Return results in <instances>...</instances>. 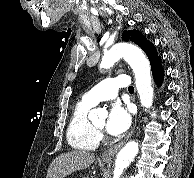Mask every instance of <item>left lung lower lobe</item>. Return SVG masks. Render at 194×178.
Segmentation results:
<instances>
[{"label":"left lung lower lobe","mask_w":194,"mask_h":178,"mask_svg":"<svg viewBox=\"0 0 194 178\" xmlns=\"http://www.w3.org/2000/svg\"><path fill=\"white\" fill-rule=\"evenodd\" d=\"M153 78L157 86H160L163 82L164 71L161 65L160 58L151 66Z\"/></svg>","instance_id":"1"}]
</instances>
